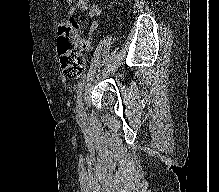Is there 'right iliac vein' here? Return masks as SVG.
I'll list each match as a JSON object with an SVG mask.
<instances>
[{
  "mask_svg": "<svg viewBox=\"0 0 219 192\" xmlns=\"http://www.w3.org/2000/svg\"><path fill=\"white\" fill-rule=\"evenodd\" d=\"M86 113H85V107L84 104L81 105L80 107V112H79V119L83 121L85 119Z\"/></svg>",
  "mask_w": 219,
  "mask_h": 192,
  "instance_id": "1",
  "label": "right iliac vein"
}]
</instances>
